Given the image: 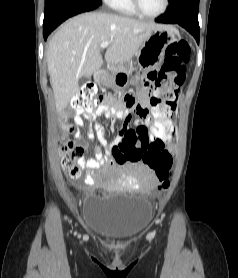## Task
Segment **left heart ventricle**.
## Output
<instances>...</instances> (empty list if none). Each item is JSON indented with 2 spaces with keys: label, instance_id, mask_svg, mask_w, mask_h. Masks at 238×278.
I'll use <instances>...</instances> for the list:
<instances>
[{
  "label": "left heart ventricle",
  "instance_id": "left-heart-ventricle-1",
  "mask_svg": "<svg viewBox=\"0 0 238 278\" xmlns=\"http://www.w3.org/2000/svg\"><path fill=\"white\" fill-rule=\"evenodd\" d=\"M142 9L151 15L159 13L164 5V0H139Z\"/></svg>",
  "mask_w": 238,
  "mask_h": 278
}]
</instances>
